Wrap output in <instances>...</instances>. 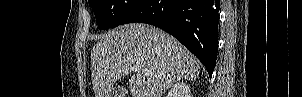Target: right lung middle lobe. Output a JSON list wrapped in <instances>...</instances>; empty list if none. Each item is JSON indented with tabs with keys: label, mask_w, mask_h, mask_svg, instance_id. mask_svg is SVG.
<instances>
[{
	"label": "right lung middle lobe",
	"mask_w": 302,
	"mask_h": 97,
	"mask_svg": "<svg viewBox=\"0 0 302 97\" xmlns=\"http://www.w3.org/2000/svg\"><path fill=\"white\" fill-rule=\"evenodd\" d=\"M143 0H89L98 28L109 29L121 25L126 16Z\"/></svg>",
	"instance_id": "1"
}]
</instances>
